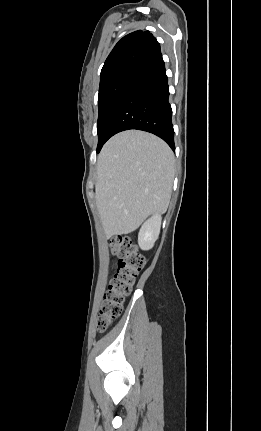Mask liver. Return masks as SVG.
<instances>
[{
    "label": "liver",
    "instance_id": "obj_1",
    "mask_svg": "<svg viewBox=\"0 0 261 431\" xmlns=\"http://www.w3.org/2000/svg\"><path fill=\"white\" fill-rule=\"evenodd\" d=\"M174 154L153 134L128 130L110 138L97 161L96 205L107 238L135 231L169 205Z\"/></svg>",
    "mask_w": 261,
    "mask_h": 431
}]
</instances>
